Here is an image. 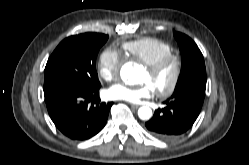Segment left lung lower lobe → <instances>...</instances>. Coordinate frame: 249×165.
Masks as SVG:
<instances>
[{
	"label": "left lung lower lobe",
	"instance_id": "left-lung-lower-lobe-1",
	"mask_svg": "<svg viewBox=\"0 0 249 165\" xmlns=\"http://www.w3.org/2000/svg\"><path fill=\"white\" fill-rule=\"evenodd\" d=\"M205 97V92L191 89L173 94L164 104L165 108L155 111L145 123L147 130L163 140L175 139L191 128L197 119Z\"/></svg>",
	"mask_w": 249,
	"mask_h": 165
}]
</instances>
